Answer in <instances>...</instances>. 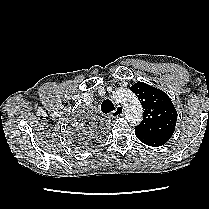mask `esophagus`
Segmentation results:
<instances>
[{
  "label": "esophagus",
  "mask_w": 209,
  "mask_h": 209,
  "mask_svg": "<svg viewBox=\"0 0 209 209\" xmlns=\"http://www.w3.org/2000/svg\"><path fill=\"white\" fill-rule=\"evenodd\" d=\"M124 114V109L121 105H117L115 110L111 112L110 116L112 118L120 117Z\"/></svg>",
  "instance_id": "obj_1"
}]
</instances>
